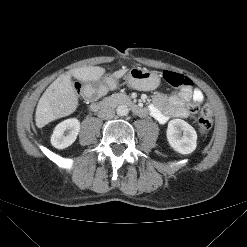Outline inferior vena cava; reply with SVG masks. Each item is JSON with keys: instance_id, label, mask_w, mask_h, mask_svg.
<instances>
[{"instance_id": "602c4592", "label": "inferior vena cava", "mask_w": 247, "mask_h": 247, "mask_svg": "<svg viewBox=\"0 0 247 247\" xmlns=\"http://www.w3.org/2000/svg\"><path fill=\"white\" fill-rule=\"evenodd\" d=\"M115 116V110L110 107H104L98 112V117L101 119H112Z\"/></svg>"}]
</instances>
